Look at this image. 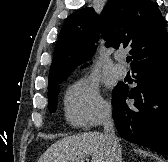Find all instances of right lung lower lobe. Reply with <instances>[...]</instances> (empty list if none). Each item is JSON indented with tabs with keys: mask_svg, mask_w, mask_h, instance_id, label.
I'll use <instances>...</instances> for the list:
<instances>
[{
	"mask_svg": "<svg viewBox=\"0 0 168 162\" xmlns=\"http://www.w3.org/2000/svg\"><path fill=\"white\" fill-rule=\"evenodd\" d=\"M137 86L118 84L113 95V118L119 135L160 154L168 151V47L136 63ZM132 98L135 103L126 104ZM159 105L158 110L153 106Z\"/></svg>",
	"mask_w": 168,
	"mask_h": 162,
	"instance_id": "obj_1",
	"label": "right lung lower lobe"
}]
</instances>
